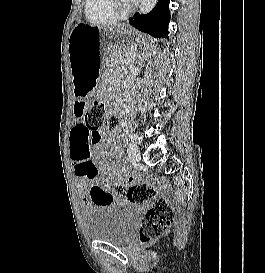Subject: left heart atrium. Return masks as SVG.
I'll return each mask as SVG.
<instances>
[{
    "instance_id": "obj_1",
    "label": "left heart atrium",
    "mask_w": 265,
    "mask_h": 273,
    "mask_svg": "<svg viewBox=\"0 0 265 273\" xmlns=\"http://www.w3.org/2000/svg\"><path fill=\"white\" fill-rule=\"evenodd\" d=\"M129 2H135L136 0H128Z\"/></svg>"
}]
</instances>
